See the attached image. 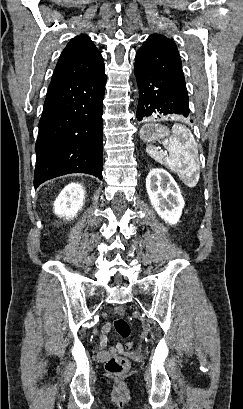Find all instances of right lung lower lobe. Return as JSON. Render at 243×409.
Here are the masks:
<instances>
[{
  "label": "right lung lower lobe",
  "instance_id": "1",
  "mask_svg": "<svg viewBox=\"0 0 243 409\" xmlns=\"http://www.w3.org/2000/svg\"><path fill=\"white\" fill-rule=\"evenodd\" d=\"M105 67L76 78H53L39 122L34 186L73 172L102 179Z\"/></svg>",
  "mask_w": 243,
  "mask_h": 409
}]
</instances>
